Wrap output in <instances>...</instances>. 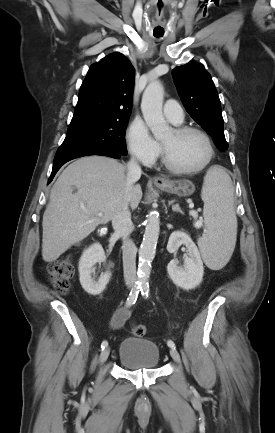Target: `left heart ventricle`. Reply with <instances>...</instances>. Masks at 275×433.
<instances>
[{
	"instance_id": "left-heart-ventricle-1",
	"label": "left heart ventricle",
	"mask_w": 275,
	"mask_h": 433,
	"mask_svg": "<svg viewBox=\"0 0 275 433\" xmlns=\"http://www.w3.org/2000/svg\"><path fill=\"white\" fill-rule=\"evenodd\" d=\"M171 161L181 168L201 165L208 156V146L202 136L188 133L178 136L171 129L161 139Z\"/></svg>"
}]
</instances>
